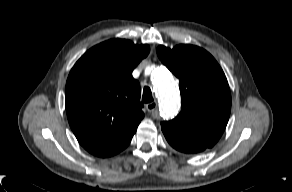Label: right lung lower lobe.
Segmentation results:
<instances>
[{"label":"right lung lower lobe","instance_id":"obj_1","mask_svg":"<svg viewBox=\"0 0 292 192\" xmlns=\"http://www.w3.org/2000/svg\"><path fill=\"white\" fill-rule=\"evenodd\" d=\"M131 139L121 143L119 145L113 146V147H100V148H85L88 152L91 154L98 156V157H109L113 156L122 150H124L128 144L130 143Z\"/></svg>","mask_w":292,"mask_h":192}]
</instances>
